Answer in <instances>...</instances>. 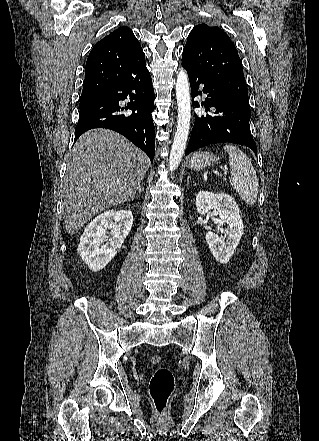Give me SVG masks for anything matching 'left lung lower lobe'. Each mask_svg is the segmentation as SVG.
I'll return each mask as SVG.
<instances>
[{"mask_svg": "<svg viewBox=\"0 0 319 441\" xmlns=\"http://www.w3.org/2000/svg\"><path fill=\"white\" fill-rule=\"evenodd\" d=\"M182 66L189 76L192 98L202 94L198 89L199 85L203 84V93H207L208 97L202 106L209 111L213 107L212 115H195V124L185 155L211 144L229 142L246 146L257 154L249 126L250 105L234 96L217 81L188 69L184 64ZM193 106L199 107V103L194 101Z\"/></svg>", "mask_w": 319, "mask_h": 441, "instance_id": "0a47b994", "label": "left lung lower lobe"}]
</instances>
